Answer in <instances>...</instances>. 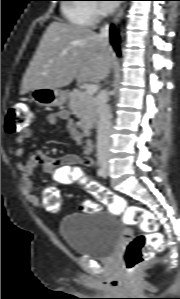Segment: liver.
Instances as JSON below:
<instances>
[{
  "instance_id": "6515ba94",
  "label": "liver",
  "mask_w": 180,
  "mask_h": 299,
  "mask_svg": "<svg viewBox=\"0 0 180 299\" xmlns=\"http://www.w3.org/2000/svg\"><path fill=\"white\" fill-rule=\"evenodd\" d=\"M114 59L108 41L91 29L54 21L26 70L20 95L38 88H62L73 79L97 83Z\"/></svg>"
}]
</instances>
